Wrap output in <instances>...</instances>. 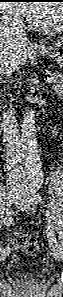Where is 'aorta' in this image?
Returning <instances> with one entry per match:
<instances>
[{
	"label": "aorta",
	"mask_w": 63,
	"mask_h": 297,
	"mask_svg": "<svg viewBox=\"0 0 63 297\" xmlns=\"http://www.w3.org/2000/svg\"><path fill=\"white\" fill-rule=\"evenodd\" d=\"M21 137L23 143V152L26 162L30 168H39V152L36 139V118L35 111L28 109L25 114L21 125Z\"/></svg>",
	"instance_id": "1"
}]
</instances>
